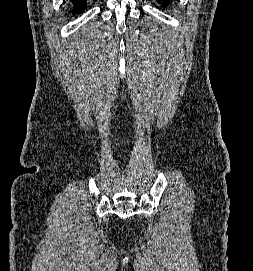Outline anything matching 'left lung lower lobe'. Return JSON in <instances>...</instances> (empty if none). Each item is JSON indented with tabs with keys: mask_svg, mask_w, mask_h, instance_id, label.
<instances>
[{
	"mask_svg": "<svg viewBox=\"0 0 253 271\" xmlns=\"http://www.w3.org/2000/svg\"><path fill=\"white\" fill-rule=\"evenodd\" d=\"M157 1H161V0H157ZM168 2H169V0H162V4H163V6H166V5H168Z\"/></svg>",
	"mask_w": 253,
	"mask_h": 271,
	"instance_id": "1",
	"label": "left lung lower lobe"
}]
</instances>
